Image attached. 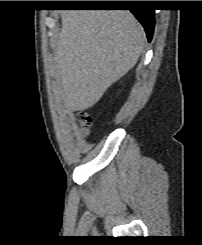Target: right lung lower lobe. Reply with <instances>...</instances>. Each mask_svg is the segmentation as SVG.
Wrapping results in <instances>:
<instances>
[{"instance_id":"right-lung-lower-lobe-1","label":"right lung lower lobe","mask_w":202,"mask_h":245,"mask_svg":"<svg viewBox=\"0 0 202 245\" xmlns=\"http://www.w3.org/2000/svg\"><path fill=\"white\" fill-rule=\"evenodd\" d=\"M118 4L117 3H90L87 4L86 6H121ZM142 4L143 2L141 1L131 2L129 5H134L136 7H133L132 9H130V11L134 14V16L144 27L148 41L150 42L152 39L154 24H155L154 10L141 7Z\"/></svg>"}]
</instances>
